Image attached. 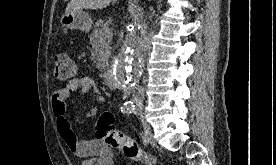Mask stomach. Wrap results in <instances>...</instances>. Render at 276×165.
Segmentation results:
<instances>
[{
    "instance_id": "1",
    "label": "stomach",
    "mask_w": 276,
    "mask_h": 165,
    "mask_svg": "<svg viewBox=\"0 0 276 165\" xmlns=\"http://www.w3.org/2000/svg\"><path fill=\"white\" fill-rule=\"evenodd\" d=\"M61 24L68 29L88 32L92 26V19L87 13L76 11L64 13L61 17Z\"/></svg>"
}]
</instances>
